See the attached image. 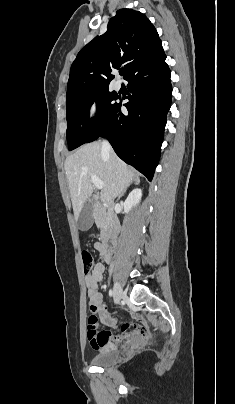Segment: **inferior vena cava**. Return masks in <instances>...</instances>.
<instances>
[{
	"label": "inferior vena cava",
	"instance_id": "602c4592",
	"mask_svg": "<svg viewBox=\"0 0 235 404\" xmlns=\"http://www.w3.org/2000/svg\"><path fill=\"white\" fill-rule=\"evenodd\" d=\"M102 150L105 152H109L111 150V146L108 141L102 142Z\"/></svg>",
	"mask_w": 235,
	"mask_h": 404
}]
</instances>
